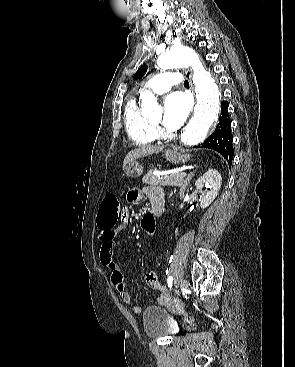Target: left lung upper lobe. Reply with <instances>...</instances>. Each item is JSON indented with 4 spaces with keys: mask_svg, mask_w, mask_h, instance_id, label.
Instances as JSON below:
<instances>
[{
    "mask_svg": "<svg viewBox=\"0 0 295 367\" xmlns=\"http://www.w3.org/2000/svg\"><path fill=\"white\" fill-rule=\"evenodd\" d=\"M147 71V66L140 68L134 75L133 79L141 78Z\"/></svg>",
    "mask_w": 295,
    "mask_h": 367,
    "instance_id": "obj_1",
    "label": "left lung upper lobe"
}]
</instances>
